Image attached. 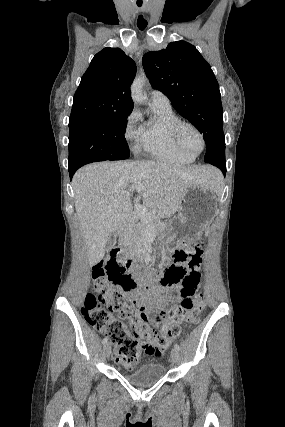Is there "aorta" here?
I'll return each instance as SVG.
<instances>
[{"mask_svg":"<svg viewBox=\"0 0 285 427\" xmlns=\"http://www.w3.org/2000/svg\"><path fill=\"white\" fill-rule=\"evenodd\" d=\"M144 76H138L132 83L131 96L135 103H142L146 100V95L143 93V85L145 82Z\"/></svg>","mask_w":285,"mask_h":427,"instance_id":"762f6f07","label":"aorta"}]
</instances>
